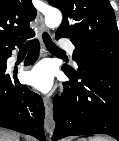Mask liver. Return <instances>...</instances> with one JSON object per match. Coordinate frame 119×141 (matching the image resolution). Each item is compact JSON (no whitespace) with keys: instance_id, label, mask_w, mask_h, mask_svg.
<instances>
[{"instance_id":"liver-1","label":"liver","mask_w":119,"mask_h":141,"mask_svg":"<svg viewBox=\"0 0 119 141\" xmlns=\"http://www.w3.org/2000/svg\"><path fill=\"white\" fill-rule=\"evenodd\" d=\"M18 139L15 133L0 129V141H18Z\"/></svg>"}]
</instances>
